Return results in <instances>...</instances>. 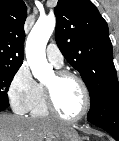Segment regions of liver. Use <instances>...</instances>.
Segmentation results:
<instances>
[{
	"mask_svg": "<svg viewBox=\"0 0 119 141\" xmlns=\"http://www.w3.org/2000/svg\"><path fill=\"white\" fill-rule=\"evenodd\" d=\"M63 126L51 120L0 114V141H43Z\"/></svg>",
	"mask_w": 119,
	"mask_h": 141,
	"instance_id": "6515ba94",
	"label": "liver"
}]
</instances>
